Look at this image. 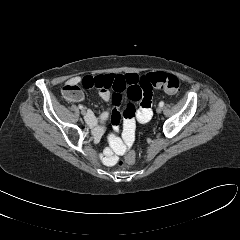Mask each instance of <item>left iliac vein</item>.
Masks as SVG:
<instances>
[{
  "mask_svg": "<svg viewBox=\"0 0 240 240\" xmlns=\"http://www.w3.org/2000/svg\"><path fill=\"white\" fill-rule=\"evenodd\" d=\"M156 112H157V113H161V112H162V107H160V106L157 107Z\"/></svg>",
  "mask_w": 240,
  "mask_h": 240,
  "instance_id": "obj_1",
  "label": "left iliac vein"
}]
</instances>
